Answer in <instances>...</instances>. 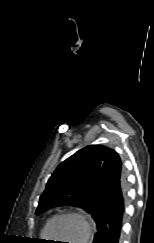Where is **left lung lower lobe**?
<instances>
[{"mask_svg":"<svg viewBox=\"0 0 154 243\" xmlns=\"http://www.w3.org/2000/svg\"><path fill=\"white\" fill-rule=\"evenodd\" d=\"M99 217L93 243H119L126 201V177L118 154L111 150L91 187Z\"/></svg>","mask_w":154,"mask_h":243,"instance_id":"left-lung-lower-lobe-1","label":"left lung lower lobe"}]
</instances>
